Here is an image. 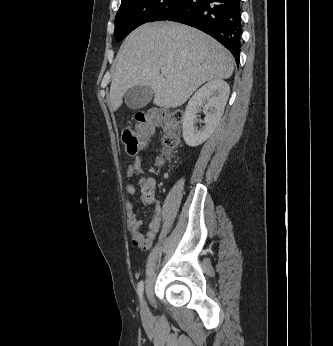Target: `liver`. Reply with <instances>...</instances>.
Here are the masks:
<instances>
[{
	"label": "liver",
	"mask_w": 333,
	"mask_h": 346,
	"mask_svg": "<svg viewBox=\"0 0 333 346\" xmlns=\"http://www.w3.org/2000/svg\"><path fill=\"white\" fill-rule=\"evenodd\" d=\"M233 70L232 55L209 35L180 23H147L125 39L113 63L111 110L134 86L152 88L155 105L176 108L203 83L228 79Z\"/></svg>",
	"instance_id": "liver-1"
}]
</instances>
